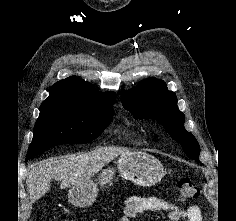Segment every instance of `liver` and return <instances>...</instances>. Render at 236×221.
Here are the masks:
<instances>
[{
  "label": "liver",
  "mask_w": 236,
  "mask_h": 221,
  "mask_svg": "<svg viewBox=\"0 0 236 221\" xmlns=\"http://www.w3.org/2000/svg\"><path fill=\"white\" fill-rule=\"evenodd\" d=\"M126 152L115 146L100 147L87 153L69 154L36 163L26 179L30 200L35 202L45 195L52 179L61 181L60 188L81 184L90 180L115 157Z\"/></svg>",
  "instance_id": "obj_1"
}]
</instances>
